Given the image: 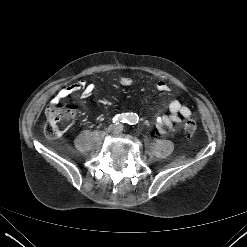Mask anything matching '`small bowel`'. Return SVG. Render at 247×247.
I'll list each match as a JSON object with an SVG mask.
<instances>
[{"label": "small bowel", "mask_w": 247, "mask_h": 247, "mask_svg": "<svg viewBox=\"0 0 247 247\" xmlns=\"http://www.w3.org/2000/svg\"><path fill=\"white\" fill-rule=\"evenodd\" d=\"M119 83L122 86L128 87L132 85L133 80L128 76H122L119 78ZM156 89L160 92H169L171 88L167 82L160 80L156 83ZM78 91H81V96L83 98H88L94 91V85L87 83L84 80L70 84L62 88L53 98L52 102L58 103L59 101L70 97ZM168 109L169 114L159 116L156 119V126L160 133H165L167 130L172 128L174 123H179L182 119L190 118L192 115L190 108L186 105H183L178 100H172L169 103Z\"/></svg>", "instance_id": "small-bowel-1"}]
</instances>
